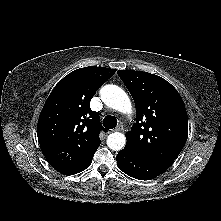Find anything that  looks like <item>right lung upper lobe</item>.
<instances>
[{"mask_svg": "<svg viewBox=\"0 0 221 221\" xmlns=\"http://www.w3.org/2000/svg\"><path fill=\"white\" fill-rule=\"evenodd\" d=\"M115 72L95 66L77 69L60 80L47 98L37 133L42 153L58 172L65 175L76 169L99 147V133L106 129L90 109V100Z\"/></svg>", "mask_w": 221, "mask_h": 221, "instance_id": "right-lung-upper-lobe-1", "label": "right lung upper lobe"}]
</instances>
